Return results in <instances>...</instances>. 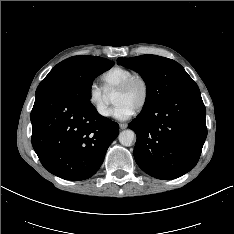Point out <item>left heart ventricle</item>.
Masks as SVG:
<instances>
[{
    "mask_svg": "<svg viewBox=\"0 0 234 234\" xmlns=\"http://www.w3.org/2000/svg\"><path fill=\"white\" fill-rule=\"evenodd\" d=\"M143 95V89L140 83H135L128 91L124 93L115 92L113 95V103L125 104L133 110L139 105Z\"/></svg>",
    "mask_w": 234,
    "mask_h": 234,
    "instance_id": "left-heart-ventricle-1",
    "label": "left heart ventricle"
}]
</instances>
